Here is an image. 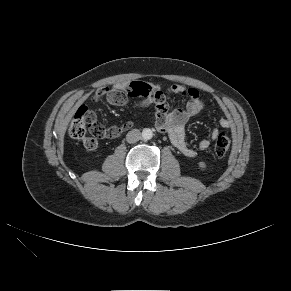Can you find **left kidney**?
I'll return each mask as SVG.
<instances>
[{
	"label": "left kidney",
	"mask_w": 291,
	"mask_h": 291,
	"mask_svg": "<svg viewBox=\"0 0 291 291\" xmlns=\"http://www.w3.org/2000/svg\"><path fill=\"white\" fill-rule=\"evenodd\" d=\"M199 167H200L201 169H204V168L206 167V165H205L204 162H200V163H199Z\"/></svg>",
	"instance_id": "left-kidney-1"
}]
</instances>
